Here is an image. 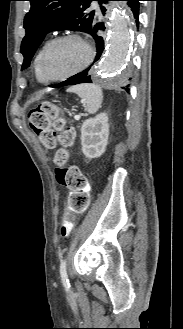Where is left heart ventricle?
Masks as SVG:
<instances>
[{"label": "left heart ventricle", "mask_w": 183, "mask_h": 329, "mask_svg": "<svg viewBox=\"0 0 183 329\" xmlns=\"http://www.w3.org/2000/svg\"><path fill=\"white\" fill-rule=\"evenodd\" d=\"M88 56L84 43L76 39H69L57 44L48 54L46 60L47 73L61 76L81 67Z\"/></svg>", "instance_id": "left-heart-ventricle-1"}]
</instances>
